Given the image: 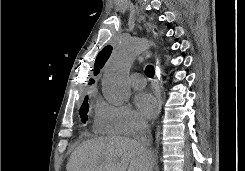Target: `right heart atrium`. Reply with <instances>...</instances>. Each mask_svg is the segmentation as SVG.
<instances>
[{
    "label": "right heart atrium",
    "mask_w": 245,
    "mask_h": 171,
    "mask_svg": "<svg viewBox=\"0 0 245 171\" xmlns=\"http://www.w3.org/2000/svg\"><path fill=\"white\" fill-rule=\"evenodd\" d=\"M146 127L145 120L132 108L99 100L95 108L94 130L99 134L133 135Z\"/></svg>",
    "instance_id": "d8ad5b80"
}]
</instances>
